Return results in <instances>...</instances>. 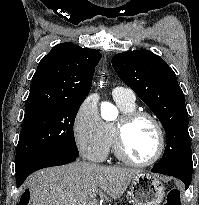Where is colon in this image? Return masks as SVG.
Masks as SVG:
<instances>
[{
	"instance_id": "obj_1",
	"label": "colon",
	"mask_w": 199,
	"mask_h": 205,
	"mask_svg": "<svg viewBox=\"0 0 199 205\" xmlns=\"http://www.w3.org/2000/svg\"><path fill=\"white\" fill-rule=\"evenodd\" d=\"M181 191L178 188H172L169 190L166 196L164 205H181Z\"/></svg>"
}]
</instances>
